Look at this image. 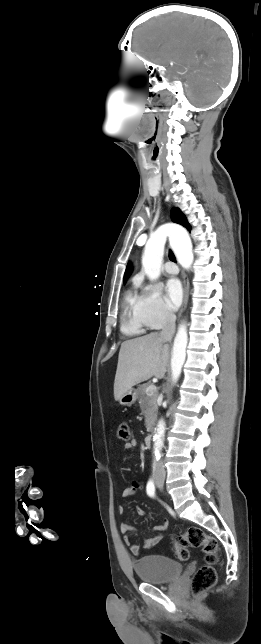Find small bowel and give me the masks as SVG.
I'll return each instance as SVG.
<instances>
[{"label": "small bowel", "instance_id": "c3829d8e", "mask_svg": "<svg viewBox=\"0 0 261 644\" xmlns=\"http://www.w3.org/2000/svg\"><path fill=\"white\" fill-rule=\"evenodd\" d=\"M136 446H137V441L136 440H131L130 442H127L123 446V450H131V449H134ZM141 486H142L141 483H139L137 481L132 482V484L130 486L126 487L123 490L122 496L124 498H129V497L133 496L141 488ZM123 511H124V507L121 506L120 507V512H123ZM135 511H136V514L138 516H144L145 515V511L143 510V508H141L139 506L136 507ZM167 527H168V521L166 519H163L161 521V523H159V524H157V525H155L153 527V531L162 532V531L166 530ZM120 531L124 534V541L129 546L131 553L134 554V555H138L141 552V548L146 549V550L151 549L154 546H156L162 540V535L158 534L155 537L144 539L142 546H140L138 544L132 543L131 538L129 536V533L134 531L133 526H131L130 524H127V523H122L120 525Z\"/></svg>", "mask_w": 261, "mask_h": 644}]
</instances>
